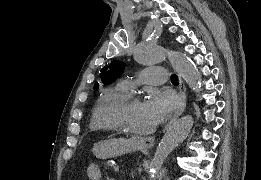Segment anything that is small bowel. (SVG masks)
<instances>
[{
	"mask_svg": "<svg viewBox=\"0 0 261 180\" xmlns=\"http://www.w3.org/2000/svg\"><path fill=\"white\" fill-rule=\"evenodd\" d=\"M86 175L90 180H101L102 174L96 164H89L86 168Z\"/></svg>",
	"mask_w": 261,
	"mask_h": 180,
	"instance_id": "small-bowel-1",
	"label": "small bowel"
}]
</instances>
